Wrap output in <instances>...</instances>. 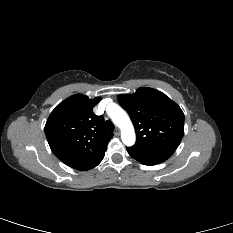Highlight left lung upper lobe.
Masks as SVG:
<instances>
[{"mask_svg": "<svg viewBox=\"0 0 233 233\" xmlns=\"http://www.w3.org/2000/svg\"><path fill=\"white\" fill-rule=\"evenodd\" d=\"M136 131L134 146L175 151L184 135V114L164 93L140 87L134 94L118 95Z\"/></svg>", "mask_w": 233, "mask_h": 233, "instance_id": "1", "label": "left lung upper lobe"}]
</instances>
